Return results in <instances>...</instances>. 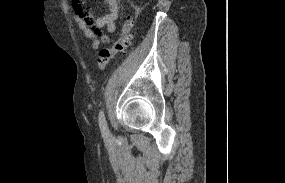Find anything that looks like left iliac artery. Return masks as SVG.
<instances>
[{
  "mask_svg": "<svg viewBox=\"0 0 285 183\" xmlns=\"http://www.w3.org/2000/svg\"><path fill=\"white\" fill-rule=\"evenodd\" d=\"M98 120H99V126H100L101 131L104 134H108L109 130H108V126H107V122H106V119H105V114H104V110L103 109H101L100 112H99Z\"/></svg>",
  "mask_w": 285,
  "mask_h": 183,
  "instance_id": "44dca946",
  "label": "left iliac artery"
}]
</instances>
